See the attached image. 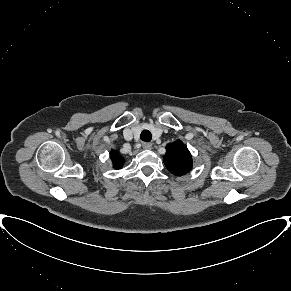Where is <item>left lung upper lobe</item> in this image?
<instances>
[{"instance_id":"1","label":"left lung upper lobe","mask_w":291,"mask_h":291,"mask_svg":"<svg viewBox=\"0 0 291 291\" xmlns=\"http://www.w3.org/2000/svg\"><path fill=\"white\" fill-rule=\"evenodd\" d=\"M164 163L172 174L181 176L191 170L192 157L186 145L182 141L176 140L166 146Z\"/></svg>"}]
</instances>
